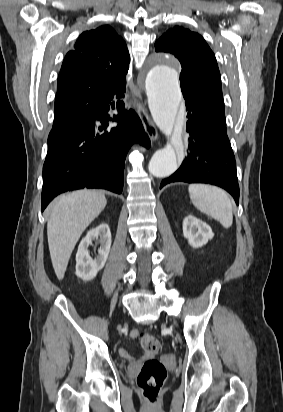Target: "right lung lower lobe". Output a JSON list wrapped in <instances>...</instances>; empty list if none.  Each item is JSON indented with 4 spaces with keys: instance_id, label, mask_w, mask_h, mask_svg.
I'll list each match as a JSON object with an SVG mask.
<instances>
[{
    "instance_id": "right-lung-lower-lobe-1",
    "label": "right lung lower lobe",
    "mask_w": 283,
    "mask_h": 412,
    "mask_svg": "<svg viewBox=\"0 0 283 412\" xmlns=\"http://www.w3.org/2000/svg\"><path fill=\"white\" fill-rule=\"evenodd\" d=\"M125 91L101 90L88 102L55 116L43 165L42 211L55 196L68 190L87 187L122 192L130 146L134 142L150 145L139 117L132 109L125 110L120 100L116 103L118 115L111 119L118 125L106 129L112 100L124 97Z\"/></svg>"
}]
</instances>
